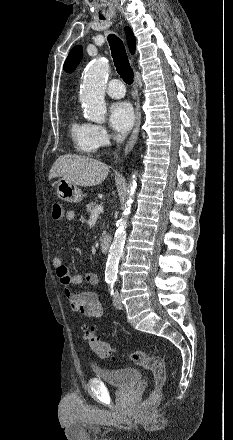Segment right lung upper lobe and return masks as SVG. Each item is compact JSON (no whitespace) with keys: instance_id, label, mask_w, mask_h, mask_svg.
Here are the masks:
<instances>
[{"instance_id":"1","label":"right lung upper lobe","mask_w":233,"mask_h":440,"mask_svg":"<svg viewBox=\"0 0 233 440\" xmlns=\"http://www.w3.org/2000/svg\"><path fill=\"white\" fill-rule=\"evenodd\" d=\"M125 31L127 34V40H128V46H129L130 52L133 54L135 52V37H134L132 31L130 30V28L126 27ZM81 58H82V47L75 46L70 51L67 59L65 60L63 69L66 72L71 73L77 67Z\"/></svg>"}]
</instances>
